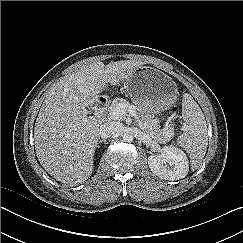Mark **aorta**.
Segmentation results:
<instances>
[{"label": "aorta", "mask_w": 243, "mask_h": 243, "mask_svg": "<svg viewBox=\"0 0 243 243\" xmlns=\"http://www.w3.org/2000/svg\"><path fill=\"white\" fill-rule=\"evenodd\" d=\"M123 141L124 142H132L133 141V138H134V136H133V134L131 133V132H125L124 134H123Z\"/></svg>", "instance_id": "1"}]
</instances>
